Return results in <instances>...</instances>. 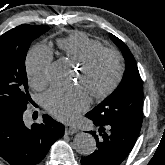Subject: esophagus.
I'll list each match as a JSON object with an SVG mask.
<instances>
[{"label": "esophagus", "instance_id": "34e87169", "mask_svg": "<svg viewBox=\"0 0 165 165\" xmlns=\"http://www.w3.org/2000/svg\"><path fill=\"white\" fill-rule=\"evenodd\" d=\"M77 132H78V129L76 127H73V126H66L65 127V133L68 135H72V134L77 133Z\"/></svg>", "mask_w": 165, "mask_h": 165}]
</instances>
